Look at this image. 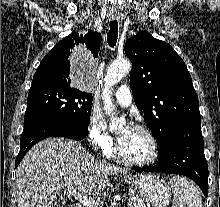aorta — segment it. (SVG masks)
<instances>
[{
    "label": "aorta",
    "instance_id": "1",
    "mask_svg": "<svg viewBox=\"0 0 220 207\" xmlns=\"http://www.w3.org/2000/svg\"><path fill=\"white\" fill-rule=\"evenodd\" d=\"M130 69L131 63L128 60L114 62L108 67L104 78V90L102 99L104 110L111 118V122L109 124L110 130H116L120 125L124 123V119L116 118L112 114L114 105L111 98V89L129 73Z\"/></svg>",
    "mask_w": 220,
    "mask_h": 207
}]
</instances>
